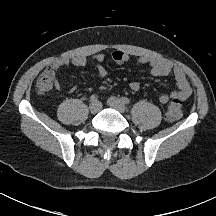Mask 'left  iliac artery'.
I'll return each instance as SVG.
<instances>
[{
    "label": "left iliac artery",
    "instance_id": "left-iliac-artery-1",
    "mask_svg": "<svg viewBox=\"0 0 216 216\" xmlns=\"http://www.w3.org/2000/svg\"><path fill=\"white\" fill-rule=\"evenodd\" d=\"M121 100H122V102L124 104H129L130 103V100L127 97H122Z\"/></svg>",
    "mask_w": 216,
    "mask_h": 216
}]
</instances>
